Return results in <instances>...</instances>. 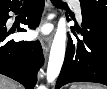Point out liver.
<instances>
[{
	"label": "liver",
	"instance_id": "liver-1",
	"mask_svg": "<svg viewBox=\"0 0 107 89\" xmlns=\"http://www.w3.org/2000/svg\"><path fill=\"white\" fill-rule=\"evenodd\" d=\"M0 89H21L20 86L11 79L1 77Z\"/></svg>",
	"mask_w": 107,
	"mask_h": 89
}]
</instances>
